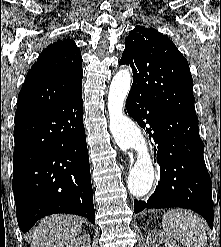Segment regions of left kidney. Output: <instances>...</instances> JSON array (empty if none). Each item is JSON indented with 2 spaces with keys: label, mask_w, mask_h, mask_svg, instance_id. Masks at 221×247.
Segmentation results:
<instances>
[{
  "label": "left kidney",
  "mask_w": 221,
  "mask_h": 247,
  "mask_svg": "<svg viewBox=\"0 0 221 247\" xmlns=\"http://www.w3.org/2000/svg\"><path fill=\"white\" fill-rule=\"evenodd\" d=\"M164 242L165 247H180L177 243L170 237H168L163 232L151 231L147 237V247H158L156 242Z\"/></svg>",
  "instance_id": "1"
}]
</instances>
